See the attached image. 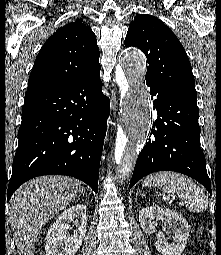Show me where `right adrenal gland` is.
Segmentation results:
<instances>
[{"label":"right adrenal gland","mask_w":221,"mask_h":255,"mask_svg":"<svg viewBox=\"0 0 221 255\" xmlns=\"http://www.w3.org/2000/svg\"><path fill=\"white\" fill-rule=\"evenodd\" d=\"M81 194H85V191L82 189V192H81Z\"/></svg>","instance_id":"1"}]
</instances>
